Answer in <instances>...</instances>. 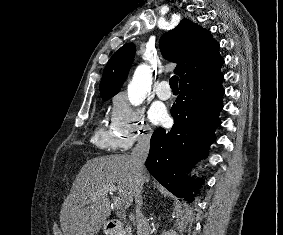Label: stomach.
I'll return each instance as SVG.
<instances>
[{
  "instance_id": "stomach-1",
  "label": "stomach",
  "mask_w": 283,
  "mask_h": 235,
  "mask_svg": "<svg viewBox=\"0 0 283 235\" xmlns=\"http://www.w3.org/2000/svg\"><path fill=\"white\" fill-rule=\"evenodd\" d=\"M103 231H104V233H105L106 235H110L111 232H112V231L107 227L106 224H104V226H103Z\"/></svg>"
}]
</instances>
